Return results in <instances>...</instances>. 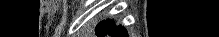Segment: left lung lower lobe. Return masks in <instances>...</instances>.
I'll return each mask as SVG.
<instances>
[{
	"mask_svg": "<svg viewBox=\"0 0 219 37\" xmlns=\"http://www.w3.org/2000/svg\"><path fill=\"white\" fill-rule=\"evenodd\" d=\"M106 35H110L113 37H128L126 29L122 26H116L115 24H113L110 30H108L102 36H99V37H103Z\"/></svg>",
	"mask_w": 219,
	"mask_h": 37,
	"instance_id": "0a47b994",
	"label": "left lung lower lobe"
}]
</instances>
